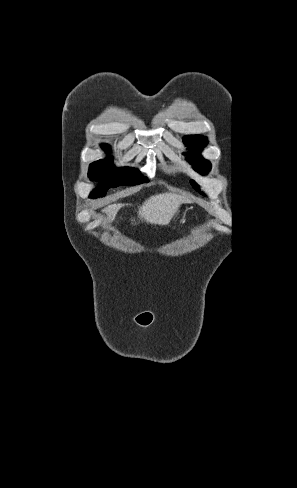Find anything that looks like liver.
Returning a JSON list of instances; mask_svg holds the SVG:
<instances>
[{"label":"liver","instance_id":"1","mask_svg":"<svg viewBox=\"0 0 297 488\" xmlns=\"http://www.w3.org/2000/svg\"><path fill=\"white\" fill-rule=\"evenodd\" d=\"M184 198L173 193H163L151 196L138 209V216L150 224L166 223L177 211ZM122 204H111L102 211L107 214V220L112 222Z\"/></svg>","mask_w":297,"mask_h":488}]
</instances>
